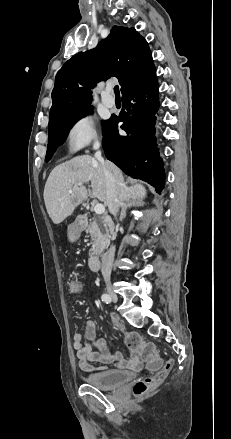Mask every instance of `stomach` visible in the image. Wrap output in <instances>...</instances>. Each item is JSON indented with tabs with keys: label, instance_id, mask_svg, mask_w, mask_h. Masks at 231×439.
Masks as SVG:
<instances>
[{
	"label": "stomach",
	"instance_id": "obj_1",
	"mask_svg": "<svg viewBox=\"0 0 231 439\" xmlns=\"http://www.w3.org/2000/svg\"><path fill=\"white\" fill-rule=\"evenodd\" d=\"M81 230H82V228L77 221L74 222L73 224L69 225L68 226V239L71 242L76 241L80 236Z\"/></svg>",
	"mask_w": 231,
	"mask_h": 439
}]
</instances>
